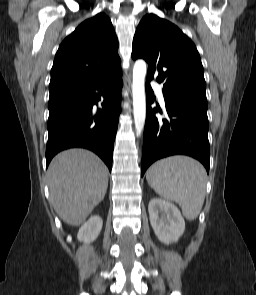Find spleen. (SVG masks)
<instances>
[{"instance_id":"obj_1","label":"spleen","mask_w":256,"mask_h":295,"mask_svg":"<svg viewBox=\"0 0 256 295\" xmlns=\"http://www.w3.org/2000/svg\"><path fill=\"white\" fill-rule=\"evenodd\" d=\"M146 178L161 197L177 202L188 220L197 218L205 200L207 181L206 171L198 161L171 156L155 162Z\"/></svg>"}]
</instances>
